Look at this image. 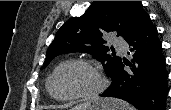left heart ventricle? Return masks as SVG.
<instances>
[{
  "mask_svg": "<svg viewBox=\"0 0 171 110\" xmlns=\"http://www.w3.org/2000/svg\"><path fill=\"white\" fill-rule=\"evenodd\" d=\"M97 85L94 73L82 65H67L61 68L52 80V91L64 97L76 93L89 92Z\"/></svg>",
  "mask_w": 171,
  "mask_h": 110,
  "instance_id": "b2bd125f",
  "label": "left heart ventricle"
}]
</instances>
